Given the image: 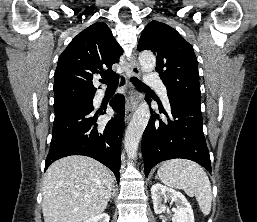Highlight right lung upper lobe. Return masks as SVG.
Returning a JSON list of instances; mask_svg holds the SVG:
<instances>
[{"mask_svg": "<svg viewBox=\"0 0 257 222\" xmlns=\"http://www.w3.org/2000/svg\"><path fill=\"white\" fill-rule=\"evenodd\" d=\"M123 50L109 27L97 22L80 32L58 59L54 80V103L94 97L92 79L96 74H112Z\"/></svg>", "mask_w": 257, "mask_h": 222, "instance_id": "cb5924a9", "label": "right lung upper lobe"}]
</instances>
